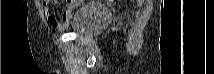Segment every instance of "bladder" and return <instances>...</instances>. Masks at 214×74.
<instances>
[{
    "mask_svg": "<svg viewBox=\"0 0 214 74\" xmlns=\"http://www.w3.org/2000/svg\"><path fill=\"white\" fill-rule=\"evenodd\" d=\"M111 18L105 7L89 2L73 16L66 28L77 35L94 36Z\"/></svg>",
    "mask_w": 214,
    "mask_h": 74,
    "instance_id": "obj_1",
    "label": "bladder"
}]
</instances>
